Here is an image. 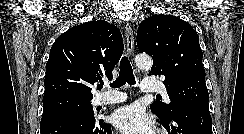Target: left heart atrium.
Segmentation results:
<instances>
[{
	"label": "left heart atrium",
	"mask_w": 244,
	"mask_h": 134,
	"mask_svg": "<svg viewBox=\"0 0 244 134\" xmlns=\"http://www.w3.org/2000/svg\"><path fill=\"white\" fill-rule=\"evenodd\" d=\"M111 120L123 134H154L153 120L137 104L117 109Z\"/></svg>",
	"instance_id": "obj_1"
}]
</instances>
